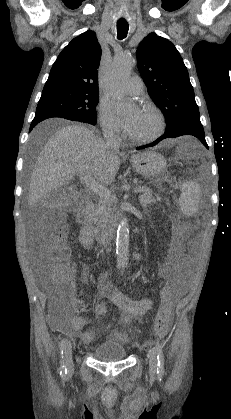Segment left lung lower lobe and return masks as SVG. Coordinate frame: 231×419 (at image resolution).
<instances>
[{"instance_id": "obj_1", "label": "left lung lower lobe", "mask_w": 231, "mask_h": 419, "mask_svg": "<svg viewBox=\"0 0 231 419\" xmlns=\"http://www.w3.org/2000/svg\"><path fill=\"white\" fill-rule=\"evenodd\" d=\"M182 135L195 136L196 138H198L203 143V145L206 148H208V145H207L206 140H205L204 129H203L202 124L201 123H187V124L181 126L180 128L174 130V131L165 133L163 136L158 138L153 143L137 147V149H143V148H146V147H151V146L156 145L158 142H160L163 139L175 138V137H179V136H182Z\"/></svg>"}]
</instances>
